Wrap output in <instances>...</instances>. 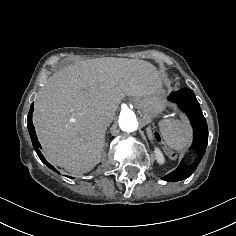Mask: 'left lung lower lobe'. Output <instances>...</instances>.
Instances as JSON below:
<instances>
[{"label":"left lung lower lobe","mask_w":236,"mask_h":236,"mask_svg":"<svg viewBox=\"0 0 236 236\" xmlns=\"http://www.w3.org/2000/svg\"><path fill=\"white\" fill-rule=\"evenodd\" d=\"M169 100L179 105L180 109L187 114L193 127L194 138L191 146L195 151L193 163L185 165L182 161L175 171L163 177L166 181H180L191 176L203 158L208 144V129L199 103L191 90L183 88L172 92Z\"/></svg>","instance_id":"obj_1"}]
</instances>
